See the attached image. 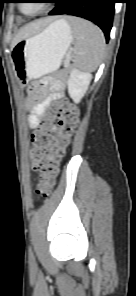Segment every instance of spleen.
I'll return each mask as SVG.
<instances>
[{
	"label": "spleen",
	"mask_w": 136,
	"mask_h": 296,
	"mask_svg": "<svg viewBox=\"0 0 136 296\" xmlns=\"http://www.w3.org/2000/svg\"><path fill=\"white\" fill-rule=\"evenodd\" d=\"M76 42L74 64L83 71L92 72L101 63L105 52L103 32L84 19L69 17Z\"/></svg>",
	"instance_id": "spleen-1"
}]
</instances>
